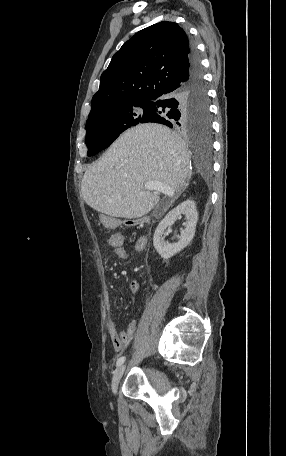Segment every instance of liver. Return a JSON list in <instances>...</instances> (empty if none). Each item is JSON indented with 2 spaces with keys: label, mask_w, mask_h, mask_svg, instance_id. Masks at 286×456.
I'll return each instance as SVG.
<instances>
[{
  "label": "liver",
  "mask_w": 286,
  "mask_h": 456,
  "mask_svg": "<svg viewBox=\"0 0 286 456\" xmlns=\"http://www.w3.org/2000/svg\"><path fill=\"white\" fill-rule=\"evenodd\" d=\"M190 176V153L182 139L163 125L142 124L123 133L87 169L81 192L87 205L101 213L138 218L159 201L145 183L182 189Z\"/></svg>",
  "instance_id": "1"
}]
</instances>
